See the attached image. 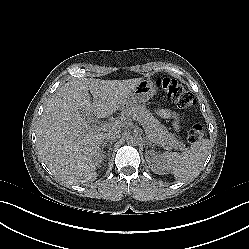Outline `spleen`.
<instances>
[{"instance_id": "obj_1", "label": "spleen", "mask_w": 249, "mask_h": 249, "mask_svg": "<svg viewBox=\"0 0 249 249\" xmlns=\"http://www.w3.org/2000/svg\"><path fill=\"white\" fill-rule=\"evenodd\" d=\"M210 149V141L202 139L194 142L190 149L183 153L165 152L159 155L158 162L164 170L174 174L197 171L203 166Z\"/></svg>"}]
</instances>
